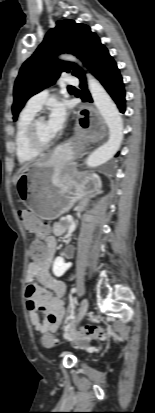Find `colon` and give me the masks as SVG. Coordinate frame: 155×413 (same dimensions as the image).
<instances>
[{
    "instance_id": "obj_1",
    "label": "colon",
    "mask_w": 155,
    "mask_h": 413,
    "mask_svg": "<svg viewBox=\"0 0 155 413\" xmlns=\"http://www.w3.org/2000/svg\"><path fill=\"white\" fill-rule=\"evenodd\" d=\"M30 257L36 262H43L47 257V250L45 245L40 241L36 240L33 242L30 248ZM108 337V334L104 329L95 326H87L82 331L79 341L85 342L89 339L92 340H104ZM41 342L46 347H51L55 340L50 333H45L41 337Z\"/></svg>"
}]
</instances>
